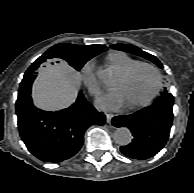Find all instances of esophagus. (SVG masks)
<instances>
[{
    "label": "esophagus",
    "mask_w": 194,
    "mask_h": 193,
    "mask_svg": "<svg viewBox=\"0 0 194 193\" xmlns=\"http://www.w3.org/2000/svg\"><path fill=\"white\" fill-rule=\"evenodd\" d=\"M113 117H114L113 114H110V113L106 114V121H107V123H111V120H112Z\"/></svg>",
    "instance_id": "1"
}]
</instances>
